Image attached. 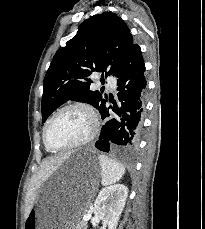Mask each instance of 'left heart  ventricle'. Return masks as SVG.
<instances>
[{
	"mask_svg": "<svg viewBox=\"0 0 205 229\" xmlns=\"http://www.w3.org/2000/svg\"><path fill=\"white\" fill-rule=\"evenodd\" d=\"M90 130V119L78 109L61 113L51 125L48 141L53 147H63L83 139Z\"/></svg>",
	"mask_w": 205,
	"mask_h": 229,
	"instance_id": "obj_1",
	"label": "left heart ventricle"
}]
</instances>
